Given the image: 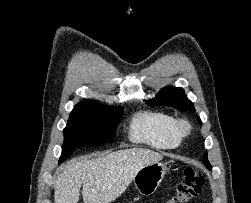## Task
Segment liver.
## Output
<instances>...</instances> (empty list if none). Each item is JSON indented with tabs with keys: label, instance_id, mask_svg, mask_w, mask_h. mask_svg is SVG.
Masks as SVG:
<instances>
[{
	"label": "liver",
	"instance_id": "liver-1",
	"mask_svg": "<svg viewBox=\"0 0 251 203\" xmlns=\"http://www.w3.org/2000/svg\"><path fill=\"white\" fill-rule=\"evenodd\" d=\"M163 156L145 148L109 153L96 159H73L58 174L54 203H78L80 188L84 203H110L118 198L144 166Z\"/></svg>",
	"mask_w": 251,
	"mask_h": 203
}]
</instances>
